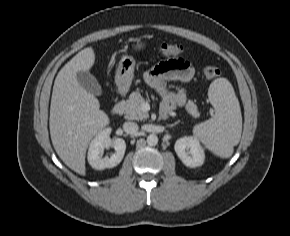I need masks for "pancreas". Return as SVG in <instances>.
Here are the masks:
<instances>
[{
  "label": "pancreas",
  "instance_id": "obj_1",
  "mask_svg": "<svg viewBox=\"0 0 290 236\" xmlns=\"http://www.w3.org/2000/svg\"><path fill=\"white\" fill-rule=\"evenodd\" d=\"M145 99L141 96L140 92H132L129 98L126 100L124 107L125 118L128 120H143L149 117L147 112H144L141 108ZM186 111L193 117H199L196 104L189 100L185 106Z\"/></svg>",
  "mask_w": 290,
  "mask_h": 236
}]
</instances>
